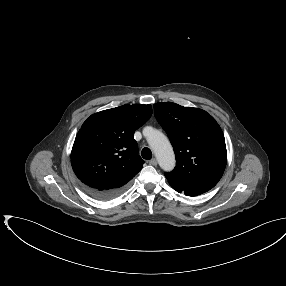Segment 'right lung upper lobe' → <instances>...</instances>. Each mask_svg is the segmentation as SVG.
<instances>
[{
	"label": "right lung upper lobe",
	"mask_w": 286,
	"mask_h": 286,
	"mask_svg": "<svg viewBox=\"0 0 286 286\" xmlns=\"http://www.w3.org/2000/svg\"><path fill=\"white\" fill-rule=\"evenodd\" d=\"M152 115L151 105H123L91 115L71 152L74 173L86 187L124 190L142 169L134 132Z\"/></svg>",
	"instance_id": "1"
}]
</instances>
